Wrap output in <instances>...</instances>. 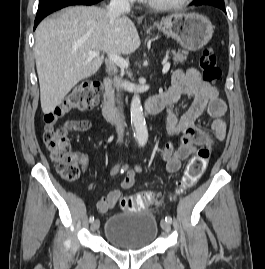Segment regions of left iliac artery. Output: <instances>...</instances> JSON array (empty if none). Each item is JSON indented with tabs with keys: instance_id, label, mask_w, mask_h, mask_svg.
<instances>
[{
	"instance_id": "left-iliac-artery-1",
	"label": "left iliac artery",
	"mask_w": 265,
	"mask_h": 269,
	"mask_svg": "<svg viewBox=\"0 0 265 269\" xmlns=\"http://www.w3.org/2000/svg\"><path fill=\"white\" fill-rule=\"evenodd\" d=\"M165 220H166L167 222H169V223L172 222V218H171L170 216H166V217H165Z\"/></svg>"
}]
</instances>
